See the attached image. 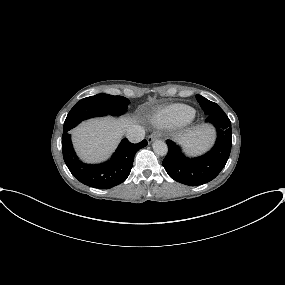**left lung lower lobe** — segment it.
<instances>
[{"label":"left lung lower lobe","instance_id":"1","mask_svg":"<svg viewBox=\"0 0 285 285\" xmlns=\"http://www.w3.org/2000/svg\"><path fill=\"white\" fill-rule=\"evenodd\" d=\"M206 122L215 126L217 140L211 151L200 157H186L178 145L167 140L168 154L162 165L175 181L189 186L202 185L213 180L224 168L231 151V122L224 111L207 115Z\"/></svg>","mask_w":285,"mask_h":285}]
</instances>
